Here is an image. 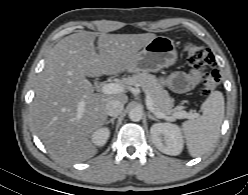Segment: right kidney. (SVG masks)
Here are the masks:
<instances>
[{
  "label": "right kidney",
  "mask_w": 248,
  "mask_h": 195,
  "mask_svg": "<svg viewBox=\"0 0 248 195\" xmlns=\"http://www.w3.org/2000/svg\"><path fill=\"white\" fill-rule=\"evenodd\" d=\"M110 136V131L107 128H99L92 134V142L97 146H103Z\"/></svg>",
  "instance_id": "obj_1"
}]
</instances>
